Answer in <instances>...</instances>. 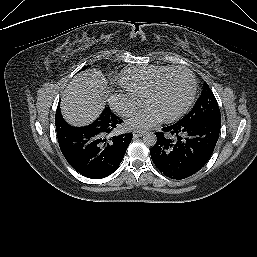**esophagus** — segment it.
<instances>
[{"instance_id":"1","label":"esophagus","mask_w":257,"mask_h":257,"mask_svg":"<svg viewBox=\"0 0 257 257\" xmlns=\"http://www.w3.org/2000/svg\"><path fill=\"white\" fill-rule=\"evenodd\" d=\"M143 135V131H140V130H134L133 131V136L134 137H140Z\"/></svg>"}]
</instances>
